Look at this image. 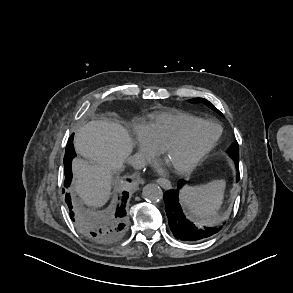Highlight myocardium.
<instances>
[{"label": "myocardium", "instance_id": "obj_1", "mask_svg": "<svg viewBox=\"0 0 293 293\" xmlns=\"http://www.w3.org/2000/svg\"><path fill=\"white\" fill-rule=\"evenodd\" d=\"M212 126L216 129L215 135L211 138V140L201 149L199 150L192 158L187 160L186 162L182 164H177L173 166V170L177 174H186L194 170L202 161L203 159L211 152V150L217 145L221 134L222 130L221 127L211 121L207 120H197L195 122H192L188 124L186 127L182 129V131L178 134L176 138H174L172 141L168 142L167 144L163 145L159 151L162 155L167 156L170 154L173 150L179 148L186 140L189 132L194 129L195 127L198 126Z\"/></svg>", "mask_w": 293, "mask_h": 293}]
</instances>
